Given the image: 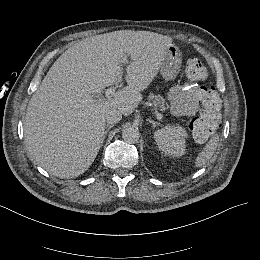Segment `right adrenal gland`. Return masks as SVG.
I'll use <instances>...</instances> for the list:
<instances>
[{"instance_id": "1", "label": "right adrenal gland", "mask_w": 260, "mask_h": 260, "mask_svg": "<svg viewBox=\"0 0 260 260\" xmlns=\"http://www.w3.org/2000/svg\"><path fill=\"white\" fill-rule=\"evenodd\" d=\"M112 127H113V125H109V126L107 127V129L105 130V133H104V137H103V138H105L106 134L108 133V131H109Z\"/></svg>"}]
</instances>
